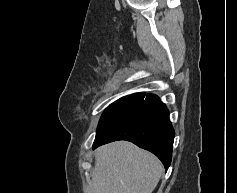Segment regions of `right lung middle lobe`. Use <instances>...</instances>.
Masks as SVG:
<instances>
[{"mask_svg":"<svg viewBox=\"0 0 237 193\" xmlns=\"http://www.w3.org/2000/svg\"><path fill=\"white\" fill-rule=\"evenodd\" d=\"M125 98H127V96H126V97H122V98H120L119 100H117L115 103H113V105L109 106L108 108L114 106L115 104L120 103V102L123 101ZM108 108H107V109H108Z\"/></svg>","mask_w":237,"mask_h":193,"instance_id":"right-lung-middle-lobe-1","label":"right lung middle lobe"}]
</instances>
